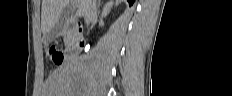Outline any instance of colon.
Returning <instances> with one entry per match:
<instances>
[{
    "instance_id": "5ec220e1",
    "label": "colon",
    "mask_w": 232,
    "mask_h": 96,
    "mask_svg": "<svg viewBox=\"0 0 232 96\" xmlns=\"http://www.w3.org/2000/svg\"><path fill=\"white\" fill-rule=\"evenodd\" d=\"M47 56L50 61L57 65L61 64L64 59L62 51L59 50L56 46H50L47 49Z\"/></svg>"
}]
</instances>
